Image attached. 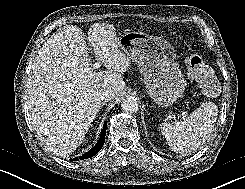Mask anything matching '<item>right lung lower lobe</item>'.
<instances>
[{"instance_id":"98d812e1","label":"right lung lower lobe","mask_w":245,"mask_h":189,"mask_svg":"<svg viewBox=\"0 0 245 189\" xmlns=\"http://www.w3.org/2000/svg\"><path fill=\"white\" fill-rule=\"evenodd\" d=\"M106 126H107V124L104 123L103 129L101 132V136H100V139L98 140L97 144L90 151H88L86 154L80 156L79 158L76 157L73 160L77 161L78 159L90 158L92 156H95L102 149L104 141H105V136H106Z\"/></svg>"}]
</instances>
